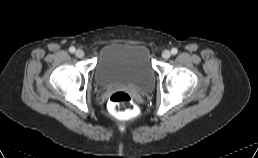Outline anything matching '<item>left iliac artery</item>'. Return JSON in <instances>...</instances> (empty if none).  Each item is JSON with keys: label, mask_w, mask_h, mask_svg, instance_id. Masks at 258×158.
I'll return each mask as SVG.
<instances>
[{"label": "left iliac artery", "mask_w": 258, "mask_h": 158, "mask_svg": "<svg viewBox=\"0 0 258 158\" xmlns=\"http://www.w3.org/2000/svg\"><path fill=\"white\" fill-rule=\"evenodd\" d=\"M177 52H178L177 48H172V49H171V53H172L173 55H176Z\"/></svg>", "instance_id": "left-iliac-artery-1"}]
</instances>
